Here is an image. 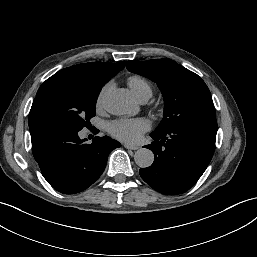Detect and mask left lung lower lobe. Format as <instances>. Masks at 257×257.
Instances as JSON below:
<instances>
[{"label": "left lung lower lobe", "instance_id": "1", "mask_svg": "<svg viewBox=\"0 0 257 257\" xmlns=\"http://www.w3.org/2000/svg\"><path fill=\"white\" fill-rule=\"evenodd\" d=\"M215 119L179 125L164 133L152 132L154 141L145 146L155 160L140 176L153 189L176 195L189 190L206 170L215 150Z\"/></svg>", "mask_w": 257, "mask_h": 257}]
</instances>
